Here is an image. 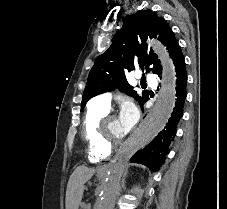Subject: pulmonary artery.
Segmentation results:
<instances>
[{
    "mask_svg": "<svg viewBox=\"0 0 227 209\" xmlns=\"http://www.w3.org/2000/svg\"><path fill=\"white\" fill-rule=\"evenodd\" d=\"M144 82L150 83L151 79L154 78V73H144ZM110 104V98L108 95H95V100H86V105H96L101 109H108Z\"/></svg>",
    "mask_w": 227,
    "mask_h": 209,
    "instance_id": "e3ab8cb5",
    "label": "pulmonary artery"
}]
</instances>
